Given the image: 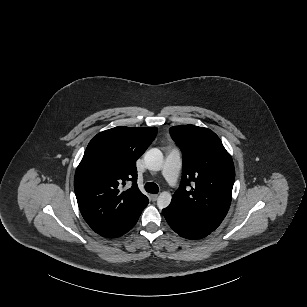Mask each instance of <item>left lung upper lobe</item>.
<instances>
[{
  "label": "left lung upper lobe",
  "instance_id": "5c2ea615",
  "mask_svg": "<svg viewBox=\"0 0 307 307\" xmlns=\"http://www.w3.org/2000/svg\"><path fill=\"white\" fill-rule=\"evenodd\" d=\"M169 131L183 153V177L171 203L195 222L215 230L231 203L232 158L219 137L207 128L180 125Z\"/></svg>",
  "mask_w": 307,
  "mask_h": 307
}]
</instances>
